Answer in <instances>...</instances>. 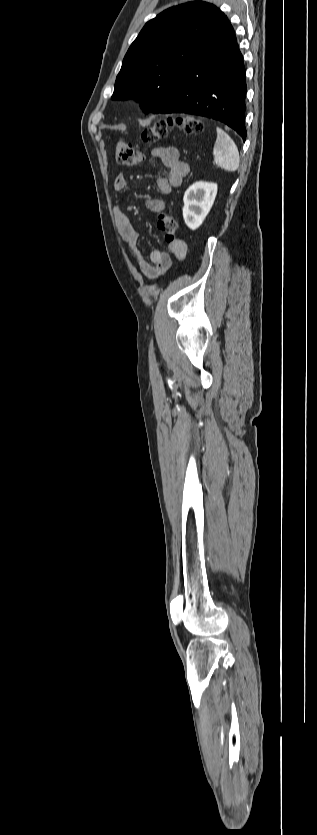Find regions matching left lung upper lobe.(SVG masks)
Returning a JSON list of instances; mask_svg holds the SVG:
<instances>
[{
  "instance_id": "left-lung-upper-lobe-1",
  "label": "left lung upper lobe",
  "mask_w": 317,
  "mask_h": 835,
  "mask_svg": "<svg viewBox=\"0 0 317 835\" xmlns=\"http://www.w3.org/2000/svg\"><path fill=\"white\" fill-rule=\"evenodd\" d=\"M225 15L206 2L171 7L146 23L128 49L112 99L135 98L145 113L171 103L188 65Z\"/></svg>"
}]
</instances>
